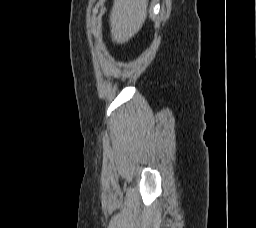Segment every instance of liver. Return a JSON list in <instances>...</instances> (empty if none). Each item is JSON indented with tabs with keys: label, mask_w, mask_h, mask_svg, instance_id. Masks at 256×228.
Wrapping results in <instances>:
<instances>
[{
	"label": "liver",
	"mask_w": 256,
	"mask_h": 228,
	"mask_svg": "<svg viewBox=\"0 0 256 228\" xmlns=\"http://www.w3.org/2000/svg\"><path fill=\"white\" fill-rule=\"evenodd\" d=\"M148 0H114L110 14L112 41L128 42L142 28L147 17Z\"/></svg>",
	"instance_id": "liver-1"
}]
</instances>
